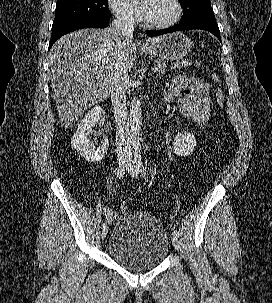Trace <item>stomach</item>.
<instances>
[{
	"label": "stomach",
	"instance_id": "0dacf381",
	"mask_svg": "<svg viewBox=\"0 0 272 303\" xmlns=\"http://www.w3.org/2000/svg\"><path fill=\"white\" fill-rule=\"evenodd\" d=\"M193 47V42L181 32L171 33L158 42H151L143 47V51L161 60L183 59Z\"/></svg>",
	"mask_w": 272,
	"mask_h": 303
}]
</instances>
